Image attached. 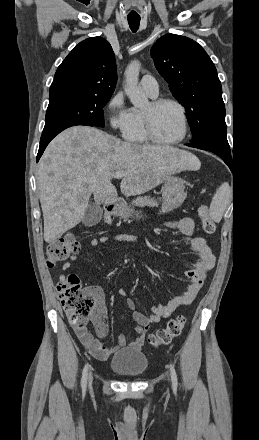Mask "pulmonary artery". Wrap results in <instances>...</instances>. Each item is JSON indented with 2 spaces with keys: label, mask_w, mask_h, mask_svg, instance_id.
<instances>
[{
  "label": "pulmonary artery",
  "mask_w": 259,
  "mask_h": 440,
  "mask_svg": "<svg viewBox=\"0 0 259 440\" xmlns=\"http://www.w3.org/2000/svg\"><path fill=\"white\" fill-rule=\"evenodd\" d=\"M141 88L150 96L155 97L158 95L159 87L156 79L152 75H144L140 81Z\"/></svg>",
  "instance_id": "obj_1"
}]
</instances>
